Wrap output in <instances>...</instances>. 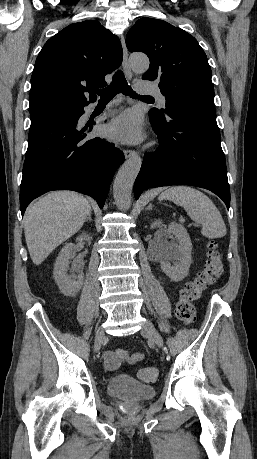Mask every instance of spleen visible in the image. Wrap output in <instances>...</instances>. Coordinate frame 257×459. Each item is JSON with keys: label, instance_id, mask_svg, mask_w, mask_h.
Wrapping results in <instances>:
<instances>
[{"label": "spleen", "instance_id": "obj_1", "mask_svg": "<svg viewBox=\"0 0 257 459\" xmlns=\"http://www.w3.org/2000/svg\"><path fill=\"white\" fill-rule=\"evenodd\" d=\"M159 199L182 206L193 221L202 225L204 237L215 239L226 235V226L219 210L203 192L189 186H174L162 192Z\"/></svg>", "mask_w": 257, "mask_h": 459}]
</instances>
